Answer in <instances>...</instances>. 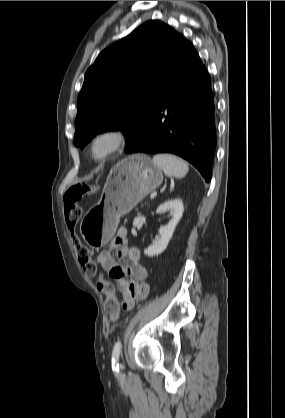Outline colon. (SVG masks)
Instances as JSON below:
<instances>
[{
    "label": "colon",
    "mask_w": 285,
    "mask_h": 418,
    "mask_svg": "<svg viewBox=\"0 0 285 418\" xmlns=\"http://www.w3.org/2000/svg\"><path fill=\"white\" fill-rule=\"evenodd\" d=\"M83 192L78 187H73L65 193L64 197V218L69 230L70 239L75 247L77 258L84 271L93 276L97 272V266L92 261L90 250L84 246L77 234V224L81 218V209L79 202L82 199ZM103 286L107 292V296L104 303L105 311L111 320H116L120 312V306L122 303L118 301L114 294L113 288L107 283L103 282ZM132 303H126L125 307L130 309Z\"/></svg>",
    "instance_id": "obj_1"
}]
</instances>
